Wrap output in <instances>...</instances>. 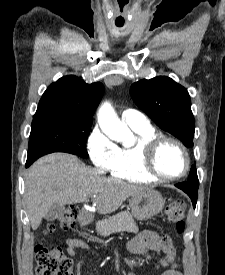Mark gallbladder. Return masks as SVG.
<instances>
[{"label":"gallbladder","mask_w":225,"mask_h":275,"mask_svg":"<svg viewBox=\"0 0 225 275\" xmlns=\"http://www.w3.org/2000/svg\"><path fill=\"white\" fill-rule=\"evenodd\" d=\"M64 211V205H60L58 203H55L51 206V208L48 210L44 218L48 221L54 220L57 217H59Z\"/></svg>","instance_id":"bac80fb5"}]
</instances>
